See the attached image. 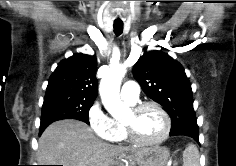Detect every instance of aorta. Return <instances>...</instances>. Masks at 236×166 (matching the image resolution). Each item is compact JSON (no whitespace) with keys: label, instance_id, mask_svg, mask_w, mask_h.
Returning a JSON list of instances; mask_svg holds the SVG:
<instances>
[{"label":"aorta","instance_id":"obj_1","mask_svg":"<svg viewBox=\"0 0 236 166\" xmlns=\"http://www.w3.org/2000/svg\"><path fill=\"white\" fill-rule=\"evenodd\" d=\"M125 73L126 69L123 66L111 67L99 85L102 103L114 118L121 117L129 110L119 96L120 84Z\"/></svg>","mask_w":236,"mask_h":166}]
</instances>
